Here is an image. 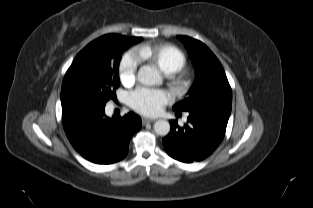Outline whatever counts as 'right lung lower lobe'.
<instances>
[{
    "instance_id": "obj_1",
    "label": "right lung lower lobe",
    "mask_w": 313,
    "mask_h": 208,
    "mask_svg": "<svg viewBox=\"0 0 313 208\" xmlns=\"http://www.w3.org/2000/svg\"><path fill=\"white\" fill-rule=\"evenodd\" d=\"M62 121L72 146L87 160L112 164L128 153L141 119L133 112L123 117H105V103L83 93H61Z\"/></svg>"
}]
</instances>
